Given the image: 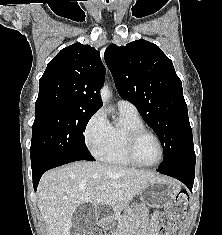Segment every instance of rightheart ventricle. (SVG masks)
Here are the masks:
<instances>
[{"mask_svg":"<svg viewBox=\"0 0 222 235\" xmlns=\"http://www.w3.org/2000/svg\"><path fill=\"white\" fill-rule=\"evenodd\" d=\"M119 120L109 124L108 140L98 157L109 163L132 165L124 151L125 135L128 130L144 128V122L138 113L121 111Z\"/></svg>","mask_w":222,"mask_h":235,"instance_id":"1","label":"right heart ventricle"}]
</instances>
